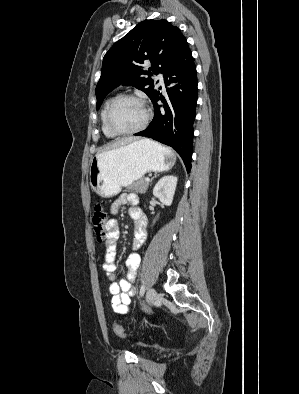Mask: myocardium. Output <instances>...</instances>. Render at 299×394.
Returning <instances> with one entry per match:
<instances>
[{
  "instance_id": "f54148a6",
  "label": "myocardium",
  "mask_w": 299,
  "mask_h": 394,
  "mask_svg": "<svg viewBox=\"0 0 299 394\" xmlns=\"http://www.w3.org/2000/svg\"><path fill=\"white\" fill-rule=\"evenodd\" d=\"M124 99H132V100L138 101L144 107L145 116H144V119H143L142 123L139 126H137L136 128H134L132 130H127V131H120V130H117L116 128L113 127V125L111 123V113H112V110H113L114 106L119 101L124 100ZM150 119H151V110H150L148 104L146 103V101L142 97H140V96H138L136 94H120V95L114 97L110 101V103H109V105L107 107L106 116H105L106 125H107L108 129L113 134L119 135V136L133 135V134H136V133L142 131L143 129L146 128V126L148 125Z\"/></svg>"
}]
</instances>
